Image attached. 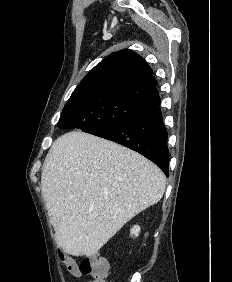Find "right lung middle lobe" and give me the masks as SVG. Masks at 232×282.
Segmentation results:
<instances>
[{
  "label": "right lung middle lobe",
  "mask_w": 232,
  "mask_h": 282,
  "mask_svg": "<svg viewBox=\"0 0 232 282\" xmlns=\"http://www.w3.org/2000/svg\"><path fill=\"white\" fill-rule=\"evenodd\" d=\"M154 108V101L139 91L112 89L89 92L68 100L58 126L89 132L135 119Z\"/></svg>",
  "instance_id": "1"
}]
</instances>
